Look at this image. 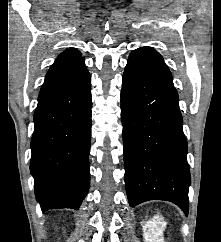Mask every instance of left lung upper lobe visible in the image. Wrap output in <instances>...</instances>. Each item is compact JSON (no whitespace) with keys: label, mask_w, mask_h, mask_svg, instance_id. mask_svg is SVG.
I'll list each match as a JSON object with an SVG mask.
<instances>
[{"label":"left lung upper lobe","mask_w":221,"mask_h":242,"mask_svg":"<svg viewBox=\"0 0 221 242\" xmlns=\"http://www.w3.org/2000/svg\"><path fill=\"white\" fill-rule=\"evenodd\" d=\"M127 65L157 81L173 85L172 75L162 56L151 47H140L132 51Z\"/></svg>","instance_id":"left-lung-upper-lobe-1"}]
</instances>
